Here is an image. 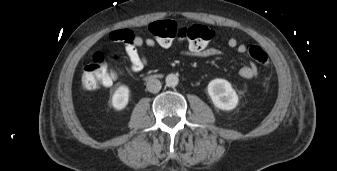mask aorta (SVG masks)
Returning <instances> with one entry per match:
<instances>
[{
	"mask_svg": "<svg viewBox=\"0 0 337 171\" xmlns=\"http://www.w3.org/2000/svg\"><path fill=\"white\" fill-rule=\"evenodd\" d=\"M166 85L169 87H175L179 83V78L175 74H168L165 79Z\"/></svg>",
	"mask_w": 337,
	"mask_h": 171,
	"instance_id": "obj_1",
	"label": "aorta"
}]
</instances>
